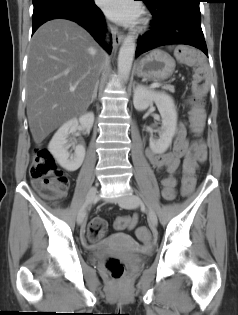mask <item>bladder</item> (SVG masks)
I'll use <instances>...</instances> for the list:
<instances>
[{
    "label": "bladder",
    "instance_id": "1",
    "mask_svg": "<svg viewBox=\"0 0 238 315\" xmlns=\"http://www.w3.org/2000/svg\"><path fill=\"white\" fill-rule=\"evenodd\" d=\"M96 249H131V248H93L91 251H92V254H91V260L92 261H95L97 259V256H96ZM132 261L134 263H142L143 262V259L138 257V258H133Z\"/></svg>",
    "mask_w": 238,
    "mask_h": 315
}]
</instances>
